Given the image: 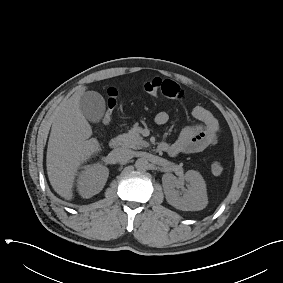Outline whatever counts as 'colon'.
Here are the masks:
<instances>
[{
    "instance_id": "1",
    "label": "colon",
    "mask_w": 283,
    "mask_h": 283,
    "mask_svg": "<svg viewBox=\"0 0 283 283\" xmlns=\"http://www.w3.org/2000/svg\"><path fill=\"white\" fill-rule=\"evenodd\" d=\"M161 89H162V79L160 78L151 79L144 84L145 92L152 96H156L160 94ZM116 96H117L116 90L114 88H110L108 90L107 114L105 117V121H107L109 114L115 107ZM211 171L215 175H220L224 171V166L222 163L216 161L211 165Z\"/></svg>"
}]
</instances>
